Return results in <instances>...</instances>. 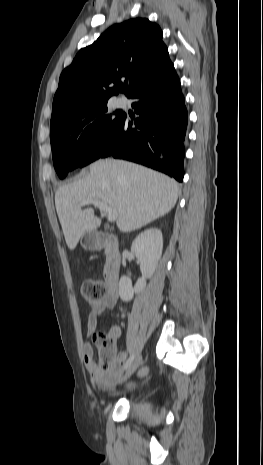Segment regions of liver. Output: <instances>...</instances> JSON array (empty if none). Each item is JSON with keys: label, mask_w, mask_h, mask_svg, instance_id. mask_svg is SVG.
<instances>
[{"label": "liver", "mask_w": 263, "mask_h": 465, "mask_svg": "<svg viewBox=\"0 0 263 465\" xmlns=\"http://www.w3.org/2000/svg\"><path fill=\"white\" fill-rule=\"evenodd\" d=\"M83 178L58 188L55 206L66 244L74 250L85 232L96 231L101 219L87 199L99 200L117 211L121 232H131L166 215L175 206L178 183L167 175L132 162L105 159L90 165Z\"/></svg>", "instance_id": "liver-1"}]
</instances>
